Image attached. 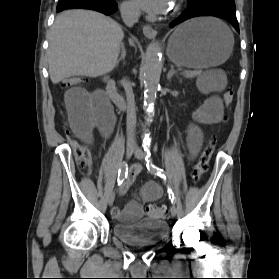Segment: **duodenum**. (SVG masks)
I'll use <instances>...</instances> for the list:
<instances>
[{"instance_id":"duodenum-1","label":"duodenum","mask_w":279,"mask_h":279,"mask_svg":"<svg viewBox=\"0 0 279 279\" xmlns=\"http://www.w3.org/2000/svg\"><path fill=\"white\" fill-rule=\"evenodd\" d=\"M107 94L112 102L119 108L123 109L126 106L125 99L118 92L116 83L113 79H108L106 83Z\"/></svg>"}]
</instances>
